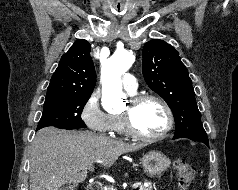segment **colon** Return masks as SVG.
Here are the masks:
<instances>
[{"label": "colon", "mask_w": 238, "mask_h": 190, "mask_svg": "<svg viewBox=\"0 0 238 190\" xmlns=\"http://www.w3.org/2000/svg\"><path fill=\"white\" fill-rule=\"evenodd\" d=\"M174 169L180 187L182 189H187L195 177L196 171L194 167L187 161L178 159L174 163Z\"/></svg>", "instance_id": "colon-1"}]
</instances>
